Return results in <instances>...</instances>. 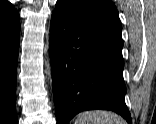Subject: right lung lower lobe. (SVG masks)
I'll return each mask as SVG.
<instances>
[{
    "instance_id": "obj_1",
    "label": "right lung lower lobe",
    "mask_w": 156,
    "mask_h": 124,
    "mask_svg": "<svg viewBox=\"0 0 156 124\" xmlns=\"http://www.w3.org/2000/svg\"><path fill=\"white\" fill-rule=\"evenodd\" d=\"M20 26L0 29V124H17L16 68Z\"/></svg>"
}]
</instances>
